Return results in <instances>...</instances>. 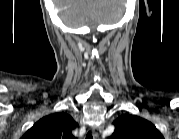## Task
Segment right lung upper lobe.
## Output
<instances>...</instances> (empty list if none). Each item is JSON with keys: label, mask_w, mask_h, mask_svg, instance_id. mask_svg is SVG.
<instances>
[{"label": "right lung upper lobe", "mask_w": 179, "mask_h": 139, "mask_svg": "<svg viewBox=\"0 0 179 139\" xmlns=\"http://www.w3.org/2000/svg\"><path fill=\"white\" fill-rule=\"evenodd\" d=\"M77 123L66 113H55L37 121L23 139H73L72 130Z\"/></svg>", "instance_id": "1"}]
</instances>
